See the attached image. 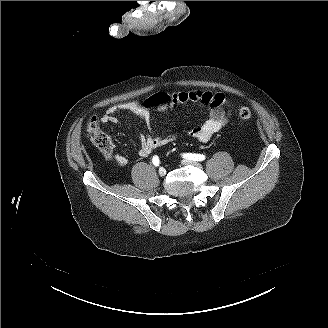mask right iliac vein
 <instances>
[{
    "label": "right iliac vein",
    "mask_w": 328,
    "mask_h": 328,
    "mask_svg": "<svg viewBox=\"0 0 328 328\" xmlns=\"http://www.w3.org/2000/svg\"><path fill=\"white\" fill-rule=\"evenodd\" d=\"M165 174H166V170H165V168L161 167V168L159 169V175H160L161 177H163V176H165Z\"/></svg>",
    "instance_id": "1"
}]
</instances>
